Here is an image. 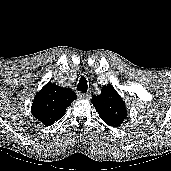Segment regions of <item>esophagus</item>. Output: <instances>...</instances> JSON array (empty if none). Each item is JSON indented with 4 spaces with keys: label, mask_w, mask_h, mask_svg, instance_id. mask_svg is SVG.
<instances>
[{
    "label": "esophagus",
    "mask_w": 171,
    "mask_h": 171,
    "mask_svg": "<svg viewBox=\"0 0 171 171\" xmlns=\"http://www.w3.org/2000/svg\"><path fill=\"white\" fill-rule=\"evenodd\" d=\"M90 96L91 95L89 93H83V92L78 93V97L81 98V99H89Z\"/></svg>",
    "instance_id": "34e87169"
}]
</instances>
